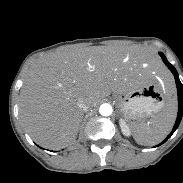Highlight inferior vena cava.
Returning <instances> with one entry per match:
<instances>
[{"mask_svg":"<svg viewBox=\"0 0 183 183\" xmlns=\"http://www.w3.org/2000/svg\"><path fill=\"white\" fill-rule=\"evenodd\" d=\"M78 106H79V108H80L82 111H87V110L89 109V107H90L89 103L86 102V101L83 100V99H80V100L78 101Z\"/></svg>","mask_w":183,"mask_h":183,"instance_id":"602c4592","label":"inferior vena cava"}]
</instances>
